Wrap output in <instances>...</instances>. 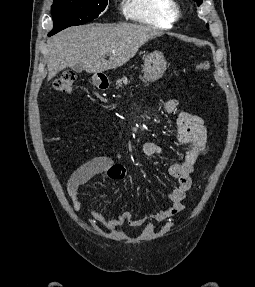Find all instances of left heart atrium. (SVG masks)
I'll list each match as a JSON object with an SVG mask.
<instances>
[{
    "instance_id": "1",
    "label": "left heart atrium",
    "mask_w": 255,
    "mask_h": 287,
    "mask_svg": "<svg viewBox=\"0 0 255 287\" xmlns=\"http://www.w3.org/2000/svg\"><path fill=\"white\" fill-rule=\"evenodd\" d=\"M127 39H134V38H127ZM128 48H131V47H128Z\"/></svg>"
}]
</instances>
